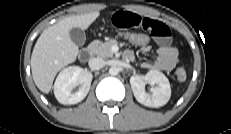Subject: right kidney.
<instances>
[{
    "label": "right kidney",
    "instance_id": "ca27d5eb",
    "mask_svg": "<svg viewBox=\"0 0 231 134\" xmlns=\"http://www.w3.org/2000/svg\"><path fill=\"white\" fill-rule=\"evenodd\" d=\"M92 74L78 66H70L63 69L56 78L54 94L58 102L64 105L77 104L88 94ZM80 85L79 90L72 93V90Z\"/></svg>",
    "mask_w": 231,
    "mask_h": 134
}]
</instances>
